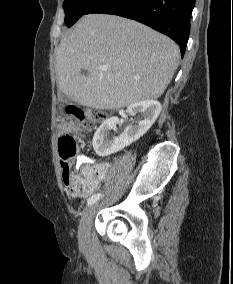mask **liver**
Returning a JSON list of instances; mask_svg holds the SVG:
<instances>
[{
    "mask_svg": "<svg viewBox=\"0 0 233 284\" xmlns=\"http://www.w3.org/2000/svg\"><path fill=\"white\" fill-rule=\"evenodd\" d=\"M179 58L175 42L146 25L115 15L89 14L68 31L56 50L57 84L81 105L118 110L159 98ZM102 65L108 69L100 70Z\"/></svg>",
    "mask_w": 233,
    "mask_h": 284,
    "instance_id": "obj_1",
    "label": "liver"
}]
</instances>
